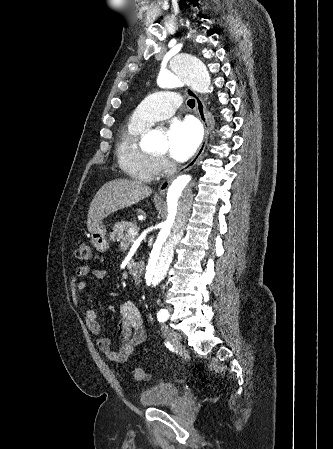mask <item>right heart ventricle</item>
Wrapping results in <instances>:
<instances>
[{"instance_id":"1","label":"right heart ventricle","mask_w":333,"mask_h":449,"mask_svg":"<svg viewBox=\"0 0 333 449\" xmlns=\"http://www.w3.org/2000/svg\"><path fill=\"white\" fill-rule=\"evenodd\" d=\"M147 130L148 126L131 118L119 132L116 144V155L121 168L132 178L143 182L152 181L159 174L156 157L141 145V139Z\"/></svg>"}]
</instances>
